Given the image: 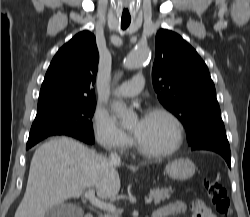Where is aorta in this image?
I'll return each instance as SVG.
<instances>
[{
    "label": "aorta",
    "mask_w": 250,
    "mask_h": 217,
    "mask_svg": "<svg viewBox=\"0 0 250 217\" xmlns=\"http://www.w3.org/2000/svg\"><path fill=\"white\" fill-rule=\"evenodd\" d=\"M150 53L151 51L147 46H138L128 54L125 67L128 69H135L139 67L149 58ZM112 110L121 119L123 125L127 126L133 122V115L123 102L114 101L112 104Z\"/></svg>",
    "instance_id": "obj_1"
}]
</instances>
